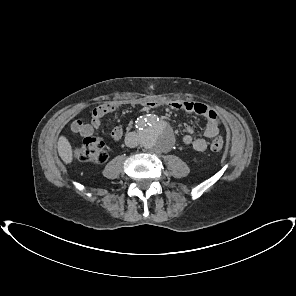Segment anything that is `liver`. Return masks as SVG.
Instances as JSON below:
<instances>
[{
	"mask_svg": "<svg viewBox=\"0 0 296 296\" xmlns=\"http://www.w3.org/2000/svg\"><path fill=\"white\" fill-rule=\"evenodd\" d=\"M58 153L61 159L66 163L70 164L73 160L72 146L68 139L64 136H60L58 140Z\"/></svg>",
	"mask_w": 296,
	"mask_h": 296,
	"instance_id": "1",
	"label": "liver"
}]
</instances>
